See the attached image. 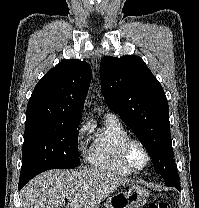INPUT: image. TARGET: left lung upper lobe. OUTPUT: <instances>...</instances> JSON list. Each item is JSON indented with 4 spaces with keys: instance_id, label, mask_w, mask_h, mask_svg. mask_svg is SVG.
I'll return each mask as SVG.
<instances>
[{
    "instance_id": "obj_1",
    "label": "left lung upper lobe",
    "mask_w": 199,
    "mask_h": 208,
    "mask_svg": "<svg viewBox=\"0 0 199 208\" xmlns=\"http://www.w3.org/2000/svg\"><path fill=\"white\" fill-rule=\"evenodd\" d=\"M108 107L136 134L163 179L178 178L173 160L169 107L162 86L138 56H105L100 63Z\"/></svg>"
}]
</instances>
